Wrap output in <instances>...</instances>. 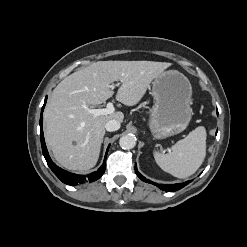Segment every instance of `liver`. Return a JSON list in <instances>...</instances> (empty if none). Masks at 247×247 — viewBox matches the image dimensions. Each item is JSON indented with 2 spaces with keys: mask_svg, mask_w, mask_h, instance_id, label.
Returning <instances> with one entry per match:
<instances>
[{
  "mask_svg": "<svg viewBox=\"0 0 247 247\" xmlns=\"http://www.w3.org/2000/svg\"><path fill=\"white\" fill-rule=\"evenodd\" d=\"M172 64L154 61H98L72 73L53 90L44 111L45 140L57 163L68 170L88 171L99 158L105 125L122 122L120 111L94 116L82 108L112 97L111 83L120 81L116 100L136 105L150 83Z\"/></svg>",
  "mask_w": 247,
  "mask_h": 247,
  "instance_id": "liver-1",
  "label": "liver"
}]
</instances>
